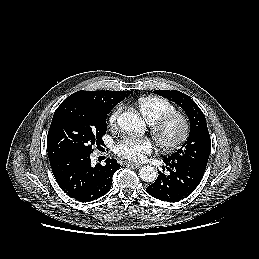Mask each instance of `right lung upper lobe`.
Returning <instances> with one entry per match:
<instances>
[{
  "label": "right lung upper lobe",
  "mask_w": 259,
  "mask_h": 259,
  "mask_svg": "<svg viewBox=\"0 0 259 259\" xmlns=\"http://www.w3.org/2000/svg\"><path fill=\"white\" fill-rule=\"evenodd\" d=\"M132 91H78L68 98H83L95 102L103 103L115 107L125 97L129 96Z\"/></svg>",
  "instance_id": "cb5924a9"
}]
</instances>
